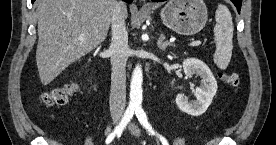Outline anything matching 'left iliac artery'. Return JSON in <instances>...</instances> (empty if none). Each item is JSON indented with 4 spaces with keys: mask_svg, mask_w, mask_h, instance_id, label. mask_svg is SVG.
<instances>
[{
    "mask_svg": "<svg viewBox=\"0 0 276 145\" xmlns=\"http://www.w3.org/2000/svg\"><path fill=\"white\" fill-rule=\"evenodd\" d=\"M135 114L136 117L138 118V121L140 122V124L151 134V135H155L154 130L152 129V126L149 124L146 113L144 112L143 108L141 106H137L135 108ZM158 136V138L160 139L162 145H169L167 140L159 135L156 134Z\"/></svg>",
    "mask_w": 276,
    "mask_h": 145,
    "instance_id": "obj_1",
    "label": "left iliac artery"
}]
</instances>
